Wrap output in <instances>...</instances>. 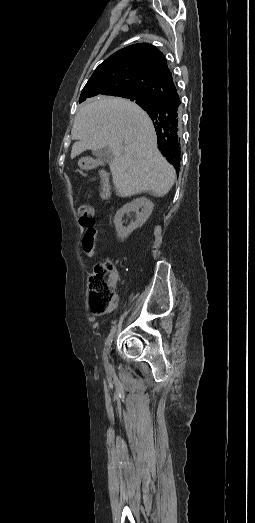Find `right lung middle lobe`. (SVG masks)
<instances>
[{"label": "right lung middle lobe", "instance_id": "1", "mask_svg": "<svg viewBox=\"0 0 255 523\" xmlns=\"http://www.w3.org/2000/svg\"><path fill=\"white\" fill-rule=\"evenodd\" d=\"M116 96L130 99L131 101L140 102L144 108H150L153 105V99L146 92L140 90H126Z\"/></svg>", "mask_w": 255, "mask_h": 523}]
</instances>
